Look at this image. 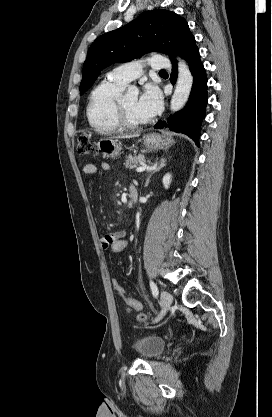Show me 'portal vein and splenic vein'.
<instances>
[{
    "instance_id": "18ae733b",
    "label": "portal vein and splenic vein",
    "mask_w": 272,
    "mask_h": 417,
    "mask_svg": "<svg viewBox=\"0 0 272 417\" xmlns=\"http://www.w3.org/2000/svg\"><path fill=\"white\" fill-rule=\"evenodd\" d=\"M147 169H148V167H147V166H140V167L136 168V171H137V172H143V171H145V170H147Z\"/></svg>"
}]
</instances>
